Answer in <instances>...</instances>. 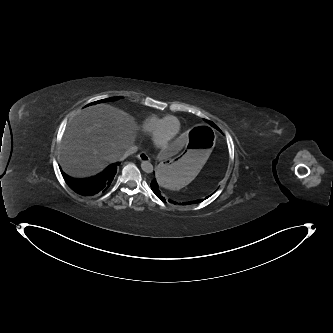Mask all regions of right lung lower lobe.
<instances>
[{"label":"right lung lower lobe","mask_w":333,"mask_h":333,"mask_svg":"<svg viewBox=\"0 0 333 333\" xmlns=\"http://www.w3.org/2000/svg\"><path fill=\"white\" fill-rule=\"evenodd\" d=\"M113 163L109 165L103 172L85 179H74L62 173L67 185L76 193L82 196H93L105 193L117 172V165Z\"/></svg>","instance_id":"obj_1"}]
</instances>
